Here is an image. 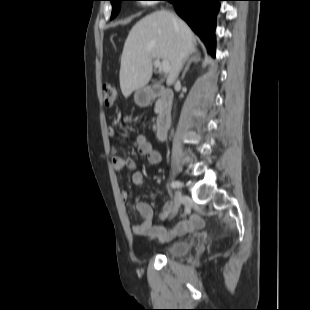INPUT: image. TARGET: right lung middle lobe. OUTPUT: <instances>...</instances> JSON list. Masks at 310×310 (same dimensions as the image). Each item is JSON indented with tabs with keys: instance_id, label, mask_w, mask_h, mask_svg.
<instances>
[{
	"instance_id": "dd1d6c3e",
	"label": "right lung middle lobe",
	"mask_w": 310,
	"mask_h": 310,
	"mask_svg": "<svg viewBox=\"0 0 310 310\" xmlns=\"http://www.w3.org/2000/svg\"><path fill=\"white\" fill-rule=\"evenodd\" d=\"M110 1L112 3L111 19H113L119 13L120 3H121V1H124V0H110Z\"/></svg>"
}]
</instances>
